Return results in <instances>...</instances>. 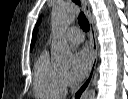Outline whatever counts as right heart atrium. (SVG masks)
I'll use <instances>...</instances> for the list:
<instances>
[{"label": "right heart atrium", "instance_id": "d8ad5b80", "mask_svg": "<svg viewBox=\"0 0 128 99\" xmlns=\"http://www.w3.org/2000/svg\"><path fill=\"white\" fill-rule=\"evenodd\" d=\"M62 77L65 86L68 87L72 83L71 76L69 75L68 72H63Z\"/></svg>", "mask_w": 128, "mask_h": 99}]
</instances>
